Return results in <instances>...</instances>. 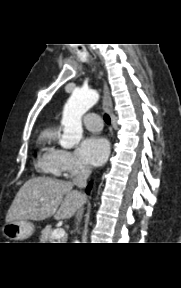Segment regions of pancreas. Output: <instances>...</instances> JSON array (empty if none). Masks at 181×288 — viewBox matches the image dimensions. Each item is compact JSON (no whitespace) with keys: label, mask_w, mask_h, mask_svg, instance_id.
Returning <instances> with one entry per match:
<instances>
[{"label":"pancreas","mask_w":181,"mask_h":288,"mask_svg":"<svg viewBox=\"0 0 181 288\" xmlns=\"http://www.w3.org/2000/svg\"><path fill=\"white\" fill-rule=\"evenodd\" d=\"M52 232L53 229L51 228L50 225L46 226L42 231H41V236L39 237V240L41 243H48V242H55L56 239L52 237ZM61 241H57L59 243H63L65 238H61Z\"/></svg>","instance_id":"cf45deb5"}]
</instances>
